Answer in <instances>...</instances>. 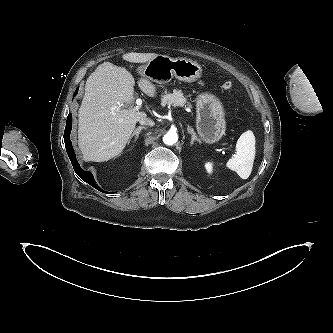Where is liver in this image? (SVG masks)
I'll list each match as a JSON object with an SVG mask.
<instances>
[{
    "instance_id": "6515ba94",
    "label": "liver",
    "mask_w": 333,
    "mask_h": 333,
    "mask_svg": "<svg viewBox=\"0 0 333 333\" xmlns=\"http://www.w3.org/2000/svg\"><path fill=\"white\" fill-rule=\"evenodd\" d=\"M158 54L127 53L123 60L146 63ZM139 88L155 97V86L145 77L138 80ZM135 81L125 68L110 62L100 64L88 77L85 95L79 109L78 144L86 161L103 162L119 155L125 148L144 111L135 110Z\"/></svg>"
}]
</instances>
